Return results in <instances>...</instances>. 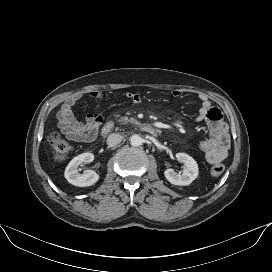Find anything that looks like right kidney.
Segmentation results:
<instances>
[{"label":"right kidney","instance_id":"ca27d5eb","mask_svg":"<svg viewBox=\"0 0 272 272\" xmlns=\"http://www.w3.org/2000/svg\"><path fill=\"white\" fill-rule=\"evenodd\" d=\"M94 160L92 153H83L73 158L67 165L64 176L69 183L79 187H87L95 184L99 180V175L93 170H86L80 174L78 167L82 163H90Z\"/></svg>","mask_w":272,"mask_h":272}]
</instances>
